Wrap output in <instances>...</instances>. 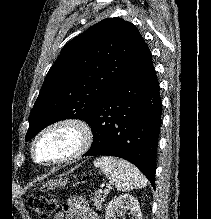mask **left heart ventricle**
Returning <instances> with one entry per match:
<instances>
[{
  "mask_svg": "<svg viewBox=\"0 0 211 219\" xmlns=\"http://www.w3.org/2000/svg\"><path fill=\"white\" fill-rule=\"evenodd\" d=\"M77 134L72 129H58L46 134L36 146L39 161H52L70 153L75 147Z\"/></svg>",
  "mask_w": 211,
  "mask_h": 219,
  "instance_id": "b2bd125f",
  "label": "left heart ventricle"
}]
</instances>
